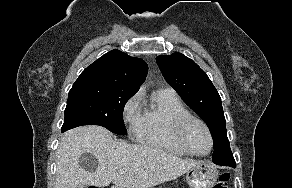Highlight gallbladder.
<instances>
[{"label": "gallbladder", "mask_w": 292, "mask_h": 188, "mask_svg": "<svg viewBox=\"0 0 292 188\" xmlns=\"http://www.w3.org/2000/svg\"><path fill=\"white\" fill-rule=\"evenodd\" d=\"M78 188H87L86 185L79 186Z\"/></svg>", "instance_id": "obj_1"}]
</instances>
